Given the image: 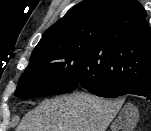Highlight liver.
<instances>
[{
    "instance_id": "liver-1",
    "label": "liver",
    "mask_w": 151,
    "mask_h": 131,
    "mask_svg": "<svg viewBox=\"0 0 151 131\" xmlns=\"http://www.w3.org/2000/svg\"><path fill=\"white\" fill-rule=\"evenodd\" d=\"M120 107L88 93L60 96L29 111L16 131H106Z\"/></svg>"
}]
</instances>
